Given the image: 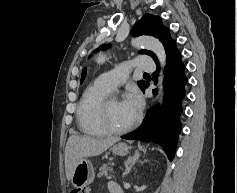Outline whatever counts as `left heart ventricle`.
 <instances>
[{
  "instance_id": "left-heart-ventricle-1",
  "label": "left heart ventricle",
  "mask_w": 237,
  "mask_h": 193,
  "mask_svg": "<svg viewBox=\"0 0 237 193\" xmlns=\"http://www.w3.org/2000/svg\"><path fill=\"white\" fill-rule=\"evenodd\" d=\"M107 121L112 127L117 129L124 128L133 122L129 111L121 101L112 102L109 105Z\"/></svg>"
}]
</instances>
